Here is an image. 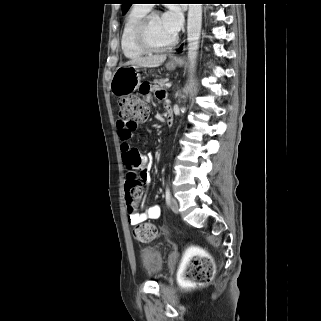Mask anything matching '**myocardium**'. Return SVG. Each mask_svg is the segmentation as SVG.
<instances>
[{
  "mask_svg": "<svg viewBox=\"0 0 321 321\" xmlns=\"http://www.w3.org/2000/svg\"><path fill=\"white\" fill-rule=\"evenodd\" d=\"M157 11L147 12L138 22L135 31H134V41L136 45L145 52H165L172 49L178 42V37L175 35L173 39L163 46H155L150 43L147 35L148 23L150 19L154 16H158Z\"/></svg>",
  "mask_w": 321,
  "mask_h": 321,
  "instance_id": "obj_1",
  "label": "myocardium"
}]
</instances>
